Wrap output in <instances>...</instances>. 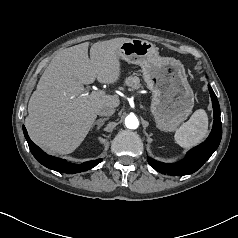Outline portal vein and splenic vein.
<instances>
[{
  "label": "portal vein and splenic vein",
  "mask_w": 238,
  "mask_h": 238,
  "mask_svg": "<svg viewBox=\"0 0 238 238\" xmlns=\"http://www.w3.org/2000/svg\"><path fill=\"white\" fill-rule=\"evenodd\" d=\"M88 93L82 94V96L87 95ZM92 95L94 96H101V95H105V92L103 90H97V91H93Z\"/></svg>",
  "instance_id": "portal-vein-and-splenic-vein-1"
}]
</instances>
